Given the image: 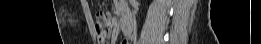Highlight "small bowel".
I'll list each match as a JSON object with an SVG mask.
<instances>
[{
	"mask_svg": "<svg viewBox=\"0 0 261 44\" xmlns=\"http://www.w3.org/2000/svg\"><path fill=\"white\" fill-rule=\"evenodd\" d=\"M119 10H120L121 12H124L126 15H130V14H129V9H128V7H127V3H126V2H121V3L119 4ZM129 40H130V38H126L125 40H123L122 44H128V43H129Z\"/></svg>",
	"mask_w": 261,
	"mask_h": 44,
	"instance_id": "obj_1",
	"label": "small bowel"
}]
</instances>
